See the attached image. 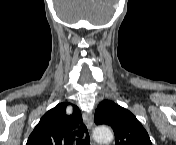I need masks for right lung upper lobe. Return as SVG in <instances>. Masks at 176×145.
Masks as SVG:
<instances>
[{
  "instance_id": "1",
  "label": "right lung upper lobe",
  "mask_w": 176,
  "mask_h": 145,
  "mask_svg": "<svg viewBox=\"0 0 176 145\" xmlns=\"http://www.w3.org/2000/svg\"><path fill=\"white\" fill-rule=\"evenodd\" d=\"M68 103H60L46 112L30 134L27 145H72L75 135L74 126L82 121L80 110L73 106V114H66Z\"/></svg>"
}]
</instances>
